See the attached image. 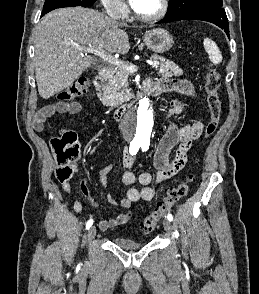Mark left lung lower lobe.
Instances as JSON below:
<instances>
[{
	"mask_svg": "<svg viewBox=\"0 0 259 294\" xmlns=\"http://www.w3.org/2000/svg\"><path fill=\"white\" fill-rule=\"evenodd\" d=\"M179 20H203L211 22L225 31L228 37L229 35V24L228 19L223 7L217 6H201L194 8L184 13H180L173 16H167L158 23L172 22Z\"/></svg>",
	"mask_w": 259,
	"mask_h": 294,
	"instance_id": "1",
	"label": "left lung lower lobe"
}]
</instances>
